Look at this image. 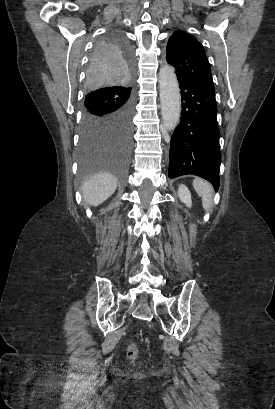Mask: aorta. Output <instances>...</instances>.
<instances>
[{
  "mask_svg": "<svg viewBox=\"0 0 275 409\" xmlns=\"http://www.w3.org/2000/svg\"><path fill=\"white\" fill-rule=\"evenodd\" d=\"M160 102L163 128L173 130L180 120L181 96L175 68L163 64L159 70Z\"/></svg>",
  "mask_w": 275,
  "mask_h": 409,
  "instance_id": "1",
  "label": "aorta"
}]
</instances>
